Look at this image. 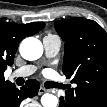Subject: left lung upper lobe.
Segmentation results:
<instances>
[{
  "label": "left lung upper lobe",
  "mask_w": 107,
  "mask_h": 107,
  "mask_svg": "<svg viewBox=\"0 0 107 107\" xmlns=\"http://www.w3.org/2000/svg\"><path fill=\"white\" fill-rule=\"evenodd\" d=\"M65 42L63 73L82 96L107 93V33L95 21L73 18L55 22Z\"/></svg>",
  "instance_id": "1"
}]
</instances>
